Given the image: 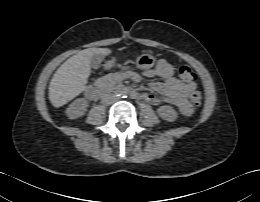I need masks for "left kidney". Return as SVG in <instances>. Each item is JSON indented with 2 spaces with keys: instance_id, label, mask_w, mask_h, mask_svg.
<instances>
[{
  "instance_id": "5707ae66",
  "label": "left kidney",
  "mask_w": 260,
  "mask_h": 202,
  "mask_svg": "<svg viewBox=\"0 0 260 202\" xmlns=\"http://www.w3.org/2000/svg\"><path fill=\"white\" fill-rule=\"evenodd\" d=\"M158 115L169 122L175 121L178 118V113L171 106H161L157 110Z\"/></svg>"
}]
</instances>
